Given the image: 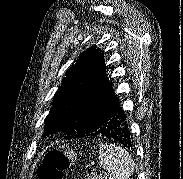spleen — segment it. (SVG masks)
<instances>
[{
	"label": "spleen",
	"mask_w": 183,
	"mask_h": 179,
	"mask_svg": "<svg viewBox=\"0 0 183 179\" xmlns=\"http://www.w3.org/2000/svg\"><path fill=\"white\" fill-rule=\"evenodd\" d=\"M99 164L108 171L109 179H129L134 172V161L130 154L115 144L100 146Z\"/></svg>",
	"instance_id": "1"
}]
</instances>
